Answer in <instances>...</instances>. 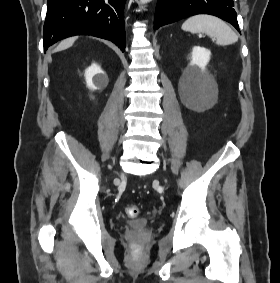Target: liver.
Wrapping results in <instances>:
<instances>
[{
  "label": "liver",
  "instance_id": "liver-1",
  "mask_svg": "<svg viewBox=\"0 0 280 283\" xmlns=\"http://www.w3.org/2000/svg\"><path fill=\"white\" fill-rule=\"evenodd\" d=\"M76 39H77L76 37H72V38H68V39L62 41L59 44V46L55 49V51H61V50H64V49L71 47Z\"/></svg>",
  "mask_w": 280,
  "mask_h": 283
}]
</instances>
